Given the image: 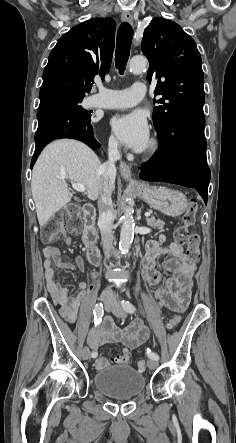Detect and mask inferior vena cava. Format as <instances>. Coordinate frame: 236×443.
I'll list each match as a JSON object with an SVG mask.
<instances>
[{
  "label": "inferior vena cava",
  "mask_w": 236,
  "mask_h": 443,
  "mask_svg": "<svg viewBox=\"0 0 236 443\" xmlns=\"http://www.w3.org/2000/svg\"><path fill=\"white\" fill-rule=\"evenodd\" d=\"M121 158V153L118 150V141L115 138L109 139L108 147V161L98 168V174L102 178V193L98 199L99 220L98 226L100 228L103 250L106 258L109 259L110 251L113 246V220L114 208L111 198L112 188L115 182L116 166L115 162ZM105 302L108 304L116 303L110 287L106 290Z\"/></svg>",
  "instance_id": "602c4592"
}]
</instances>
